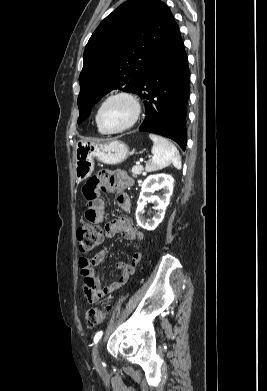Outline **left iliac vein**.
Returning a JSON list of instances; mask_svg holds the SVG:
<instances>
[{
	"label": "left iliac vein",
	"mask_w": 267,
	"mask_h": 391,
	"mask_svg": "<svg viewBox=\"0 0 267 391\" xmlns=\"http://www.w3.org/2000/svg\"><path fill=\"white\" fill-rule=\"evenodd\" d=\"M99 346H100L99 344H96L93 348V361L97 368H102Z\"/></svg>",
	"instance_id": "obj_1"
}]
</instances>
